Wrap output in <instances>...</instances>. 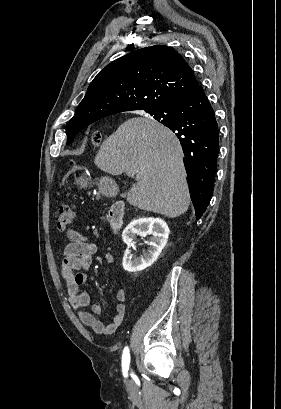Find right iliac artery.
I'll use <instances>...</instances> for the list:
<instances>
[{"label": "right iliac artery", "mask_w": 281, "mask_h": 409, "mask_svg": "<svg viewBox=\"0 0 281 409\" xmlns=\"http://www.w3.org/2000/svg\"><path fill=\"white\" fill-rule=\"evenodd\" d=\"M129 363H130V354H129V350L126 347L123 351V356H122V367H123V373L126 376L127 375V371L129 369Z\"/></svg>", "instance_id": "obj_1"}]
</instances>
